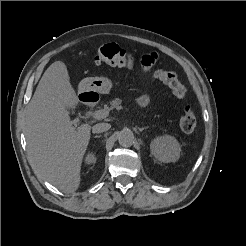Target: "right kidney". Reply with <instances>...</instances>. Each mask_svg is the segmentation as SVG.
Wrapping results in <instances>:
<instances>
[{"label":"right kidney","mask_w":246,"mask_h":246,"mask_svg":"<svg viewBox=\"0 0 246 246\" xmlns=\"http://www.w3.org/2000/svg\"><path fill=\"white\" fill-rule=\"evenodd\" d=\"M95 162H96L95 154L92 152L88 153L86 158H85V163L86 164H94Z\"/></svg>","instance_id":"ca27d5eb"}]
</instances>
